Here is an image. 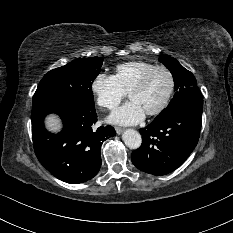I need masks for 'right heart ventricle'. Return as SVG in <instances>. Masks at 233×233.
Segmentation results:
<instances>
[{"mask_svg":"<svg viewBox=\"0 0 233 233\" xmlns=\"http://www.w3.org/2000/svg\"><path fill=\"white\" fill-rule=\"evenodd\" d=\"M155 67V64L146 61H129L118 64L113 77L124 92H129L144 74Z\"/></svg>","mask_w":233,"mask_h":233,"instance_id":"1","label":"right heart ventricle"}]
</instances>
